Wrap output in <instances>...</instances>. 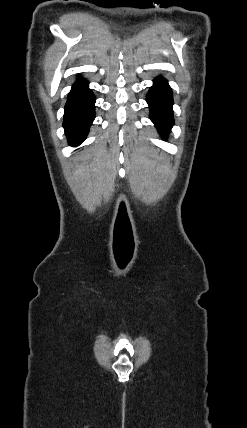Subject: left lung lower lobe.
Segmentation results:
<instances>
[{"label": "left lung lower lobe", "mask_w": 247, "mask_h": 428, "mask_svg": "<svg viewBox=\"0 0 247 428\" xmlns=\"http://www.w3.org/2000/svg\"><path fill=\"white\" fill-rule=\"evenodd\" d=\"M147 103L150 108V119L164 136L174 125L172 90L167 81L158 77L147 94Z\"/></svg>", "instance_id": "left-lung-lower-lobe-1"}]
</instances>
